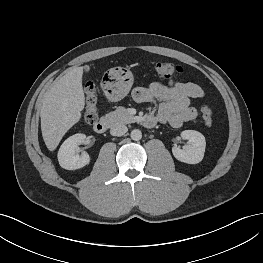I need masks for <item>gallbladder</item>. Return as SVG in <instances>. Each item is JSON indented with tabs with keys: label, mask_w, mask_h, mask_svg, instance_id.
<instances>
[{
	"label": "gallbladder",
	"mask_w": 263,
	"mask_h": 263,
	"mask_svg": "<svg viewBox=\"0 0 263 263\" xmlns=\"http://www.w3.org/2000/svg\"><path fill=\"white\" fill-rule=\"evenodd\" d=\"M84 71L88 73L90 71V67L88 65L84 66Z\"/></svg>",
	"instance_id": "bac80fb5"
}]
</instances>
